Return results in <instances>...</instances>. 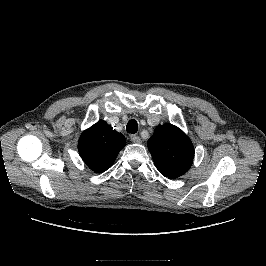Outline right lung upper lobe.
<instances>
[{
  "label": "right lung upper lobe",
  "mask_w": 266,
  "mask_h": 266,
  "mask_svg": "<svg viewBox=\"0 0 266 266\" xmlns=\"http://www.w3.org/2000/svg\"><path fill=\"white\" fill-rule=\"evenodd\" d=\"M125 144V137L101 120L81 134L78 151L87 166L99 173L112 166Z\"/></svg>",
  "instance_id": "obj_1"
}]
</instances>
